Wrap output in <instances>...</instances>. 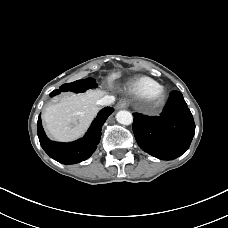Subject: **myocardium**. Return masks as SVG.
<instances>
[{
    "instance_id": "obj_1",
    "label": "myocardium",
    "mask_w": 228,
    "mask_h": 228,
    "mask_svg": "<svg viewBox=\"0 0 228 228\" xmlns=\"http://www.w3.org/2000/svg\"><path fill=\"white\" fill-rule=\"evenodd\" d=\"M154 108H161L167 100V92L163 87L153 90L146 98Z\"/></svg>"
}]
</instances>
